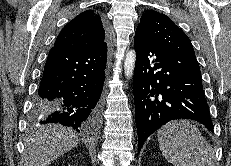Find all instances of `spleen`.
<instances>
[{
	"label": "spleen",
	"instance_id": "obj_1",
	"mask_svg": "<svg viewBox=\"0 0 231 166\" xmlns=\"http://www.w3.org/2000/svg\"><path fill=\"white\" fill-rule=\"evenodd\" d=\"M162 155L174 166H215L210 144L188 120L172 121L158 131Z\"/></svg>",
	"mask_w": 231,
	"mask_h": 166
}]
</instances>
